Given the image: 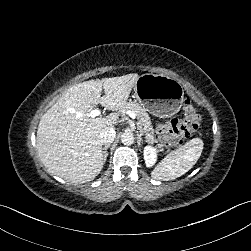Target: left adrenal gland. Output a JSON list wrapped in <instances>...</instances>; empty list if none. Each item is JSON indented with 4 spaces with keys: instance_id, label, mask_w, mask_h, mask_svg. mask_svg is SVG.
Instances as JSON below:
<instances>
[{
    "instance_id": "a2214340",
    "label": "left adrenal gland",
    "mask_w": 251,
    "mask_h": 251,
    "mask_svg": "<svg viewBox=\"0 0 251 251\" xmlns=\"http://www.w3.org/2000/svg\"><path fill=\"white\" fill-rule=\"evenodd\" d=\"M136 137H137V144L138 146H140L141 141H144V138L142 137V134L140 132H137Z\"/></svg>"
}]
</instances>
